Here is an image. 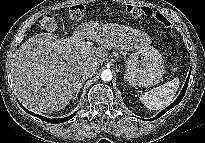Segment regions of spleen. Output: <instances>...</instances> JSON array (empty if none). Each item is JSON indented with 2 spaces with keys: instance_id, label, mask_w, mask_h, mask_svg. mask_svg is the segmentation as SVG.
Here are the masks:
<instances>
[{
  "instance_id": "3e777b00",
  "label": "spleen",
  "mask_w": 205,
  "mask_h": 143,
  "mask_svg": "<svg viewBox=\"0 0 205 143\" xmlns=\"http://www.w3.org/2000/svg\"><path fill=\"white\" fill-rule=\"evenodd\" d=\"M179 78L145 92L141 97L142 103L151 110L166 108L173 101L179 88Z\"/></svg>"
}]
</instances>
